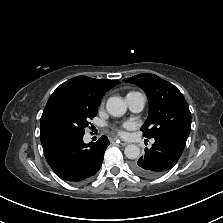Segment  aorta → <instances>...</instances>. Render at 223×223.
Returning a JSON list of instances; mask_svg holds the SVG:
<instances>
[{"label": "aorta", "mask_w": 223, "mask_h": 223, "mask_svg": "<svg viewBox=\"0 0 223 223\" xmlns=\"http://www.w3.org/2000/svg\"><path fill=\"white\" fill-rule=\"evenodd\" d=\"M106 109L110 115L120 117L125 114L127 106L121 97L114 96L107 100ZM124 154L128 159H136L140 155V148L135 144H129L125 147Z\"/></svg>", "instance_id": "762f6f07"}]
</instances>
